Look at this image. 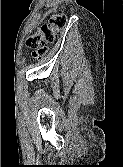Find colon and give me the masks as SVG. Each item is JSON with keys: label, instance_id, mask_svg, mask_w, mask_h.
I'll return each instance as SVG.
<instances>
[{"label": "colon", "instance_id": "1", "mask_svg": "<svg viewBox=\"0 0 123 167\" xmlns=\"http://www.w3.org/2000/svg\"><path fill=\"white\" fill-rule=\"evenodd\" d=\"M66 27V16L62 11L53 13L48 22L27 40V45L34 49V57L42 58L49 45L55 42L58 34Z\"/></svg>", "mask_w": 123, "mask_h": 167}]
</instances>
